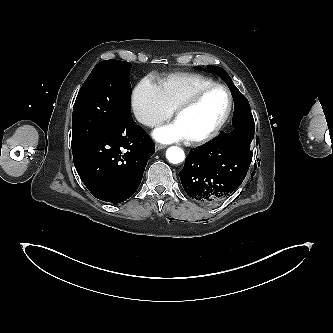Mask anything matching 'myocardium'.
Returning a JSON list of instances; mask_svg holds the SVG:
<instances>
[{
    "instance_id": "myocardium-1",
    "label": "myocardium",
    "mask_w": 333,
    "mask_h": 333,
    "mask_svg": "<svg viewBox=\"0 0 333 333\" xmlns=\"http://www.w3.org/2000/svg\"><path fill=\"white\" fill-rule=\"evenodd\" d=\"M223 89L225 90V92L227 93L228 96V105H227V109L225 114L223 115V117L221 118V120L219 121V123L208 133L199 136V137H195V138H187V141L191 144V145H202L205 143H208L210 141H212L213 139H215L220 132L223 130V128L225 127V125L227 124L231 114H232V110H233V105H234V99H233V95L231 90L224 84L221 83H213L207 86L202 87L201 89H199L198 91H196L193 95H191L188 99H186L184 102H182L176 109L174 112V119L176 120L182 113H184L185 111L191 109L192 107H194L196 104H198V102L210 91L214 90V89Z\"/></svg>"
}]
</instances>
